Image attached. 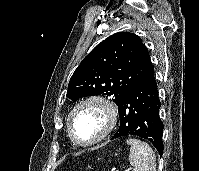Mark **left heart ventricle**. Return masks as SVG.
<instances>
[{"mask_svg":"<svg viewBox=\"0 0 199 171\" xmlns=\"http://www.w3.org/2000/svg\"><path fill=\"white\" fill-rule=\"evenodd\" d=\"M106 126L104 112L95 105L81 107L72 118V129L78 140L88 142L101 134Z\"/></svg>","mask_w":199,"mask_h":171,"instance_id":"1","label":"left heart ventricle"}]
</instances>
